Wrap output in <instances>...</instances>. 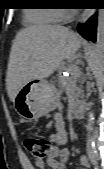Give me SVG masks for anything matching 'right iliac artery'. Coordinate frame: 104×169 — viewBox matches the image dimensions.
I'll return each mask as SVG.
<instances>
[{"instance_id": "obj_1", "label": "right iliac artery", "mask_w": 104, "mask_h": 169, "mask_svg": "<svg viewBox=\"0 0 104 169\" xmlns=\"http://www.w3.org/2000/svg\"><path fill=\"white\" fill-rule=\"evenodd\" d=\"M87 154L94 165H97L95 143L92 140L87 142Z\"/></svg>"}]
</instances>
